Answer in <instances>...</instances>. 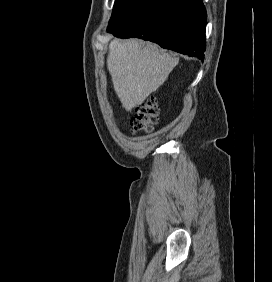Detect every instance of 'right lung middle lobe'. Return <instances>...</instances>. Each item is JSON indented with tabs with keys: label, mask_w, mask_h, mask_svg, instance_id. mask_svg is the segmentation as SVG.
Segmentation results:
<instances>
[{
	"label": "right lung middle lobe",
	"mask_w": 272,
	"mask_h": 282,
	"mask_svg": "<svg viewBox=\"0 0 272 282\" xmlns=\"http://www.w3.org/2000/svg\"><path fill=\"white\" fill-rule=\"evenodd\" d=\"M137 1L138 0H116L108 26L120 19Z\"/></svg>",
	"instance_id": "1"
}]
</instances>
